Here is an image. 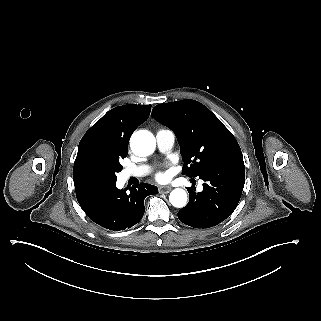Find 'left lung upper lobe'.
Wrapping results in <instances>:
<instances>
[{"mask_svg": "<svg viewBox=\"0 0 321 321\" xmlns=\"http://www.w3.org/2000/svg\"><path fill=\"white\" fill-rule=\"evenodd\" d=\"M152 116L175 133L184 161L182 174L196 177L213 164L243 159L232 133L207 107L195 100L157 105Z\"/></svg>", "mask_w": 321, "mask_h": 321, "instance_id": "1", "label": "left lung upper lobe"}]
</instances>
